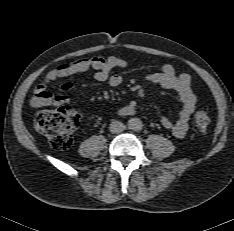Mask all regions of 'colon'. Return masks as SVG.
Segmentation results:
<instances>
[{"label": "colon", "mask_w": 234, "mask_h": 231, "mask_svg": "<svg viewBox=\"0 0 234 231\" xmlns=\"http://www.w3.org/2000/svg\"><path fill=\"white\" fill-rule=\"evenodd\" d=\"M79 123V114L70 107L42 110L34 117L36 130L45 135L51 146L57 150H65L70 147L72 133ZM194 123L197 130L204 133L211 124V117L206 110L200 109L194 115Z\"/></svg>", "instance_id": "1"}]
</instances>
